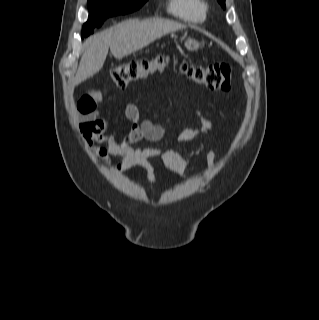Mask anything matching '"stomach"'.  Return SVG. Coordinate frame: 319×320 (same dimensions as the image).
Returning a JSON list of instances; mask_svg holds the SVG:
<instances>
[{
  "label": "stomach",
  "instance_id": "0dacf381",
  "mask_svg": "<svg viewBox=\"0 0 319 320\" xmlns=\"http://www.w3.org/2000/svg\"><path fill=\"white\" fill-rule=\"evenodd\" d=\"M185 47L189 50V51H196L200 48V43L194 39L189 38L186 42H185Z\"/></svg>",
  "mask_w": 319,
  "mask_h": 320
}]
</instances>
